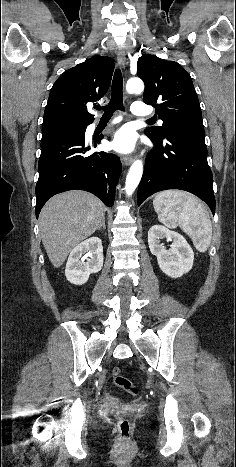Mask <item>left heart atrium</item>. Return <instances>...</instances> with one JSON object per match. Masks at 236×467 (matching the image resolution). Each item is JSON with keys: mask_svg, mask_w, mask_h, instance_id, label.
Wrapping results in <instances>:
<instances>
[{"mask_svg": "<svg viewBox=\"0 0 236 467\" xmlns=\"http://www.w3.org/2000/svg\"><path fill=\"white\" fill-rule=\"evenodd\" d=\"M111 145L113 149L120 153H129L133 151L136 146L134 131L128 126L120 128L115 133Z\"/></svg>", "mask_w": 236, "mask_h": 467, "instance_id": "obj_1", "label": "left heart atrium"}]
</instances>
